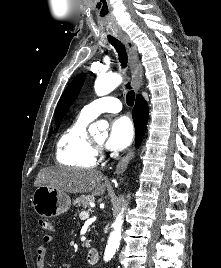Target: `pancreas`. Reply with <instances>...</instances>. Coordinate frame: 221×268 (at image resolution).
I'll use <instances>...</instances> for the list:
<instances>
[{"label":"pancreas","instance_id":"cf45deb5","mask_svg":"<svg viewBox=\"0 0 221 268\" xmlns=\"http://www.w3.org/2000/svg\"><path fill=\"white\" fill-rule=\"evenodd\" d=\"M95 198L90 195H81L80 197L76 198L74 201V205L76 207H82V208H87L90 203L94 202Z\"/></svg>","mask_w":221,"mask_h":268}]
</instances>
